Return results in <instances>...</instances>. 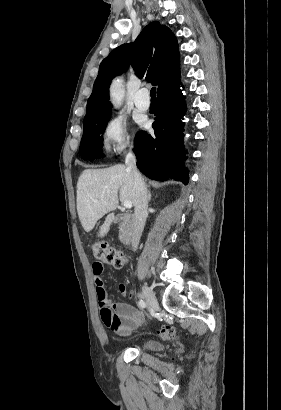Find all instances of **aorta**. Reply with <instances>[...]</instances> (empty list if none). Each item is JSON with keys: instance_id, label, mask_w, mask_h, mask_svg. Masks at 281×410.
I'll return each mask as SVG.
<instances>
[{"instance_id": "762f6f07", "label": "aorta", "mask_w": 281, "mask_h": 410, "mask_svg": "<svg viewBox=\"0 0 281 410\" xmlns=\"http://www.w3.org/2000/svg\"><path fill=\"white\" fill-rule=\"evenodd\" d=\"M110 98L115 107H120L124 99V89L122 81L115 79L110 86Z\"/></svg>"}]
</instances>
